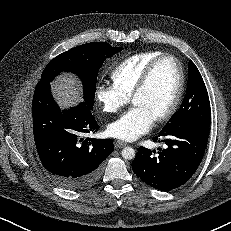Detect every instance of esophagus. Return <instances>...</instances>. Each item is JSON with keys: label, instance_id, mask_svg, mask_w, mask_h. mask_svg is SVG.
<instances>
[{"label": "esophagus", "instance_id": "1", "mask_svg": "<svg viewBox=\"0 0 231 231\" xmlns=\"http://www.w3.org/2000/svg\"><path fill=\"white\" fill-rule=\"evenodd\" d=\"M114 145H115V148L120 149V148L125 147V146L127 145V143L118 140V141H116V142L114 143Z\"/></svg>", "mask_w": 231, "mask_h": 231}]
</instances>
